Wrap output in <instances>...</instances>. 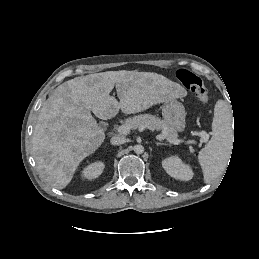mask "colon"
I'll return each instance as SVG.
<instances>
[{"label": "colon", "instance_id": "obj_1", "mask_svg": "<svg viewBox=\"0 0 259 259\" xmlns=\"http://www.w3.org/2000/svg\"><path fill=\"white\" fill-rule=\"evenodd\" d=\"M177 78L185 88L192 91L202 104L209 101V92L205 87L203 80L188 69H179L176 73Z\"/></svg>", "mask_w": 259, "mask_h": 259}]
</instances>
